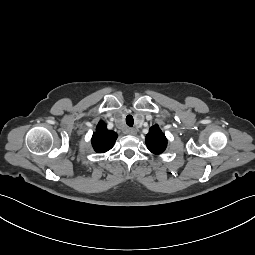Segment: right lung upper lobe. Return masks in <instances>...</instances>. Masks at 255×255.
<instances>
[{
	"mask_svg": "<svg viewBox=\"0 0 255 255\" xmlns=\"http://www.w3.org/2000/svg\"><path fill=\"white\" fill-rule=\"evenodd\" d=\"M116 139L117 134L108 130L106 124L100 121L92 136V146L97 153H105L114 146Z\"/></svg>",
	"mask_w": 255,
	"mask_h": 255,
	"instance_id": "1",
	"label": "right lung upper lobe"
}]
</instances>
